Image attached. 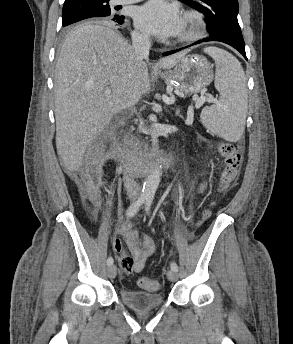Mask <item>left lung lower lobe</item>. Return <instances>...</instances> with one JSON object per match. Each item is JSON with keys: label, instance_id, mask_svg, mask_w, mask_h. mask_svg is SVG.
Returning <instances> with one entry per match:
<instances>
[{"label": "left lung lower lobe", "instance_id": "0a47b994", "mask_svg": "<svg viewBox=\"0 0 293 344\" xmlns=\"http://www.w3.org/2000/svg\"><path fill=\"white\" fill-rule=\"evenodd\" d=\"M208 41H220V42L226 43V44L234 47L236 50H238L244 56V58L247 59L246 53H245V44H237V43L231 42V41L226 40V39H220V38H215V37H208V38H205L203 40L197 41V42H195L192 45L199 44V43H202V42H208ZM181 49H183V48H181ZM181 49L165 52V53H163V55L167 56V55L176 53L177 51H180Z\"/></svg>", "mask_w": 293, "mask_h": 344}]
</instances>
